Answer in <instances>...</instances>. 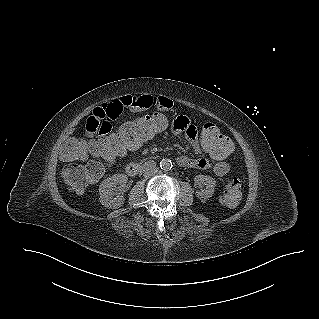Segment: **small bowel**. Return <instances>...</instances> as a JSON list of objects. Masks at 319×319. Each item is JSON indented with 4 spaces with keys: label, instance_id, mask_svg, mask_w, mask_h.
Segmentation results:
<instances>
[{
    "label": "small bowel",
    "instance_id": "obj_1",
    "mask_svg": "<svg viewBox=\"0 0 319 319\" xmlns=\"http://www.w3.org/2000/svg\"><path fill=\"white\" fill-rule=\"evenodd\" d=\"M172 106L173 102L166 97L124 96L103 99L102 104L97 106L87 119L85 131L88 136L99 138L111 130L113 120L120 118L124 114L125 109L144 110L158 108L168 110ZM196 128L197 123L196 121H192L191 115H173L172 121H170V130H174L175 135H183L185 140H189L193 153L197 156V158H191L181 155L178 157V163L188 168L211 169L218 176L226 175L229 171L227 163L217 159L216 162H212L208 158L203 157L207 151L199 143V135ZM86 156H88L87 151L84 153V158Z\"/></svg>",
    "mask_w": 319,
    "mask_h": 319
}]
</instances>
